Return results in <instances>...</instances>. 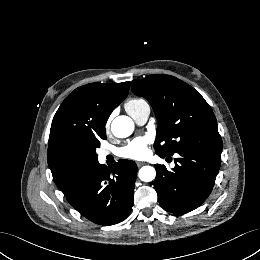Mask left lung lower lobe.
I'll return each instance as SVG.
<instances>
[{"label": "left lung lower lobe", "instance_id": "left-lung-lower-lobe-1", "mask_svg": "<svg viewBox=\"0 0 260 260\" xmlns=\"http://www.w3.org/2000/svg\"><path fill=\"white\" fill-rule=\"evenodd\" d=\"M179 155L172 171L155 165L154 188L159 203L172 213L192 211L204 202L212 191L221 160V150L214 149H190Z\"/></svg>", "mask_w": 260, "mask_h": 260}]
</instances>
